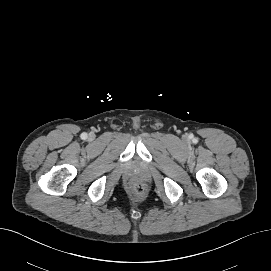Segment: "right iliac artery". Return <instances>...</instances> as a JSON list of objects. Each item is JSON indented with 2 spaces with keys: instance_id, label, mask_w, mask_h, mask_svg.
Listing matches in <instances>:
<instances>
[{
  "instance_id": "right-iliac-artery-1",
  "label": "right iliac artery",
  "mask_w": 271,
  "mask_h": 271,
  "mask_svg": "<svg viewBox=\"0 0 271 271\" xmlns=\"http://www.w3.org/2000/svg\"><path fill=\"white\" fill-rule=\"evenodd\" d=\"M81 138H82V139H86V138H87V134H86V133H82V134H81Z\"/></svg>"
}]
</instances>
